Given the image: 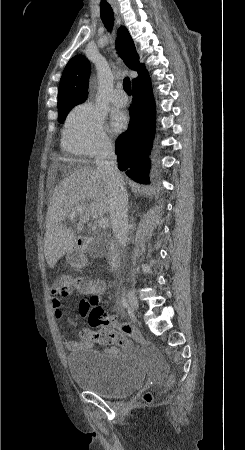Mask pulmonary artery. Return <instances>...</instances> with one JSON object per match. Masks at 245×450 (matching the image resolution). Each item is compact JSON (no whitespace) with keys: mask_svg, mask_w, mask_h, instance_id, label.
Here are the masks:
<instances>
[{"mask_svg":"<svg viewBox=\"0 0 245 450\" xmlns=\"http://www.w3.org/2000/svg\"><path fill=\"white\" fill-rule=\"evenodd\" d=\"M111 101L113 104L120 107H123L127 104L128 99L125 92L122 89V86L119 85L114 89Z\"/></svg>","mask_w":245,"mask_h":450,"instance_id":"obj_1","label":"pulmonary artery"}]
</instances>
